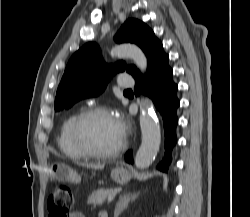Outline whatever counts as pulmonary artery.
Wrapping results in <instances>:
<instances>
[{
    "mask_svg": "<svg viewBox=\"0 0 250 217\" xmlns=\"http://www.w3.org/2000/svg\"><path fill=\"white\" fill-rule=\"evenodd\" d=\"M118 84L122 88H129L133 86V80L130 78H125L124 76H121L118 80Z\"/></svg>",
    "mask_w": 250,
    "mask_h": 217,
    "instance_id": "obj_1",
    "label": "pulmonary artery"
}]
</instances>
